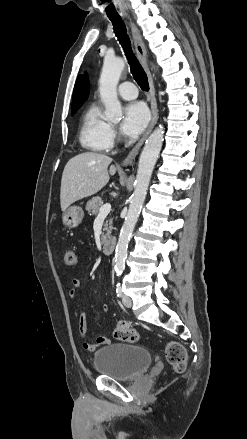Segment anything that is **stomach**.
<instances>
[{
  "label": "stomach",
  "instance_id": "1",
  "mask_svg": "<svg viewBox=\"0 0 247 439\" xmlns=\"http://www.w3.org/2000/svg\"><path fill=\"white\" fill-rule=\"evenodd\" d=\"M84 217V212L79 206H70L64 210L62 215V222L69 228L77 227Z\"/></svg>",
  "mask_w": 247,
  "mask_h": 439
}]
</instances>
